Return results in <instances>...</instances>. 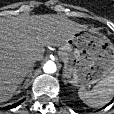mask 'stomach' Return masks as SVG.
<instances>
[{
	"label": "stomach",
	"mask_w": 114,
	"mask_h": 114,
	"mask_svg": "<svg viewBox=\"0 0 114 114\" xmlns=\"http://www.w3.org/2000/svg\"><path fill=\"white\" fill-rule=\"evenodd\" d=\"M64 75L77 87H89L114 71V45L101 32L85 28L73 33L59 48Z\"/></svg>",
	"instance_id": "1"
}]
</instances>
